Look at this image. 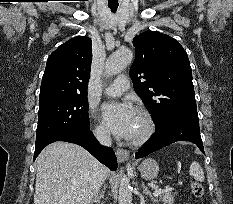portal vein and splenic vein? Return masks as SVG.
<instances>
[{"instance_id":"portal-vein-and-splenic-vein-1","label":"portal vein and splenic vein","mask_w":233,"mask_h":204,"mask_svg":"<svg viewBox=\"0 0 233 204\" xmlns=\"http://www.w3.org/2000/svg\"><path fill=\"white\" fill-rule=\"evenodd\" d=\"M162 192H163V190H162L161 188L158 187L157 189H155L153 195H154V196H158V195H160Z\"/></svg>"}]
</instances>
